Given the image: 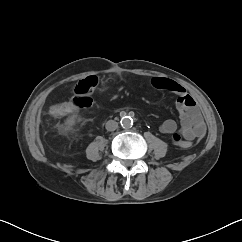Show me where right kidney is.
I'll return each instance as SVG.
<instances>
[{
  "mask_svg": "<svg viewBox=\"0 0 242 242\" xmlns=\"http://www.w3.org/2000/svg\"><path fill=\"white\" fill-rule=\"evenodd\" d=\"M81 120L82 118L78 117L77 114L72 115L66 120L64 130L65 131L72 130L73 129L72 126L75 125L76 122H80Z\"/></svg>",
  "mask_w": 242,
  "mask_h": 242,
  "instance_id": "right-kidney-1",
  "label": "right kidney"
}]
</instances>
